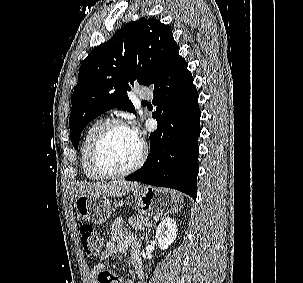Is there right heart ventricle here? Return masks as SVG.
Instances as JSON below:
<instances>
[{
    "mask_svg": "<svg viewBox=\"0 0 303 283\" xmlns=\"http://www.w3.org/2000/svg\"><path fill=\"white\" fill-rule=\"evenodd\" d=\"M103 123L104 120L102 118L94 120L87 128L81 144V169L84 176L91 181H100L103 179V177L95 172L90 162V147L97 131Z\"/></svg>",
    "mask_w": 303,
    "mask_h": 283,
    "instance_id": "e07e8e85",
    "label": "right heart ventricle"
}]
</instances>
